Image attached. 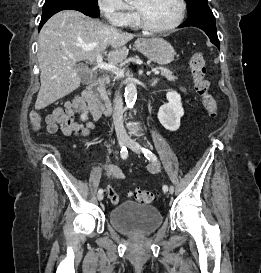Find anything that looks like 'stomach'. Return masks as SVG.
<instances>
[{
    "instance_id": "1",
    "label": "stomach",
    "mask_w": 261,
    "mask_h": 273,
    "mask_svg": "<svg viewBox=\"0 0 261 273\" xmlns=\"http://www.w3.org/2000/svg\"><path fill=\"white\" fill-rule=\"evenodd\" d=\"M135 47L148 59L160 65L171 63L176 55L172 45L162 38H141L136 40Z\"/></svg>"
}]
</instances>
